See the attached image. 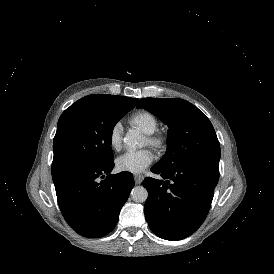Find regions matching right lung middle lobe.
<instances>
[{
	"label": "right lung middle lobe",
	"mask_w": 274,
	"mask_h": 274,
	"mask_svg": "<svg viewBox=\"0 0 274 274\" xmlns=\"http://www.w3.org/2000/svg\"><path fill=\"white\" fill-rule=\"evenodd\" d=\"M136 105L128 98L73 104L59 118L53 141L52 171L113 162V128Z\"/></svg>",
	"instance_id": "dd1d6c3e"
}]
</instances>
